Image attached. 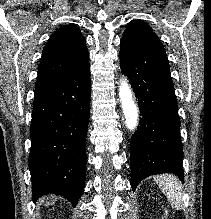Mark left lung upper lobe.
<instances>
[{"label":"left lung upper lobe","mask_w":211,"mask_h":219,"mask_svg":"<svg viewBox=\"0 0 211 219\" xmlns=\"http://www.w3.org/2000/svg\"><path fill=\"white\" fill-rule=\"evenodd\" d=\"M124 41L144 47H159L164 49L158 36L141 20H132L124 31Z\"/></svg>","instance_id":"1"}]
</instances>
